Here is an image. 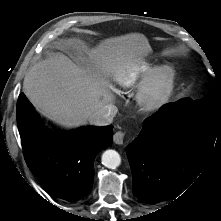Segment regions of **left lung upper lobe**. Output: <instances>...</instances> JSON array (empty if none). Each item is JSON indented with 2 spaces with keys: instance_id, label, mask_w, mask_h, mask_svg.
Segmentation results:
<instances>
[{
  "instance_id": "obj_1",
  "label": "left lung upper lobe",
  "mask_w": 221,
  "mask_h": 221,
  "mask_svg": "<svg viewBox=\"0 0 221 221\" xmlns=\"http://www.w3.org/2000/svg\"><path fill=\"white\" fill-rule=\"evenodd\" d=\"M221 94L214 87L208 96L200 100L188 99L182 105V115L211 122L221 121Z\"/></svg>"
}]
</instances>
